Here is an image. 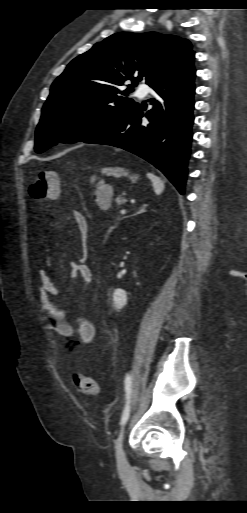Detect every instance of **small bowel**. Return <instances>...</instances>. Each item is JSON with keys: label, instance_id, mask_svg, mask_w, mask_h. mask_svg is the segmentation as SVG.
Returning a JSON list of instances; mask_svg holds the SVG:
<instances>
[{"label": "small bowel", "instance_id": "c3829d8e", "mask_svg": "<svg viewBox=\"0 0 247 513\" xmlns=\"http://www.w3.org/2000/svg\"><path fill=\"white\" fill-rule=\"evenodd\" d=\"M96 196V194H95ZM70 219L74 222L83 243H86L89 234V225L86 218L78 211H73ZM71 273L79 279L83 287H88L92 280L90 268L82 261V257L70 264ZM39 287L37 299L41 309L48 315L51 328L67 342L76 345V350H85L93 343L96 337V329L93 323L84 315L77 314L74 318V324L66 321L67 311L53 300L61 293V287L44 270L36 271Z\"/></svg>", "mask_w": 247, "mask_h": 513}]
</instances>
